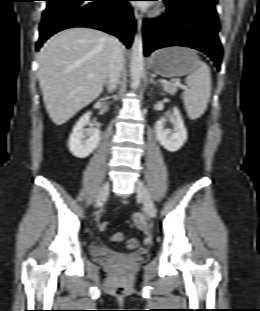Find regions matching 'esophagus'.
<instances>
[{"label":"esophagus","instance_id":"esophagus-1","mask_svg":"<svg viewBox=\"0 0 260 311\" xmlns=\"http://www.w3.org/2000/svg\"><path fill=\"white\" fill-rule=\"evenodd\" d=\"M134 17L137 21L138 29L140 30L142 27L143 16H142V14L139 13V11L137 9H135L134 10Z\"/></svg>","mask_w":260,"mask_h":311}]
</instances>
